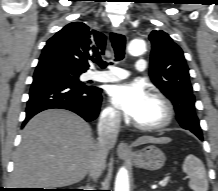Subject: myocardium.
Instances as JSON below:
<instances>
[{"instance_id": "obj_1", "label": "myocardium", "mask_w": 218, "mask_h": 191, "mask_svg": "<svg viewBox=\"0 0 218 191\" xmlns=\"http://www.w3.org/2000/svg\"><path fill=\"white\" fill-rule=\"evenodd\" d=\"M150 97L159 101L164 108V118L156 124L143 125L134 121V126L141 131H158L168 127L174 120L175 110L171 101L161 92L154 91L150 93Z\"/></svg>"}]
</instances>
